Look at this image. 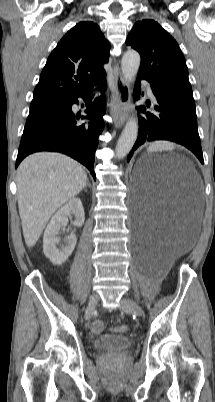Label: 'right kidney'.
<instances>
[{
	"label": "right kidney",
	"mask_w": 215,
	"mask_h": 402,
	"mask_svg": "<svg viewBox=\"0 0 215 402\" xmlns=\"http://www.w3.org/2000/svg\"><path fill=\"white\" fill-rule=\"evenodd\" d=\"M70 215L75 216L74 224L76 226L84 224L85 214L80 198H72L61 207L52 217L44 232L43 251L45 256L55 265L65 263L77 243L76 235L71 233L65 238V245L57 247L60 242V238L57 235L67 225L68 216Z\"/></svg>",
	"instance_id": "right-kidney-1"
}]
</instances>
